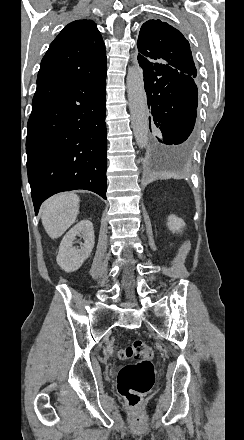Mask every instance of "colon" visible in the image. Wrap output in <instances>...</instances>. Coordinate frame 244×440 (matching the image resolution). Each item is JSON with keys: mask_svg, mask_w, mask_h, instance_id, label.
I'll list each match as a JSON object with an SVG mask.
<instances>
[{"mask_svg": "<svg viewBox=\"0 0 244 440\" xmlns=\"http://www.w3.org/2000/svg\"><path fill=\"white\" fill-rule=\"evenodd\" d=\"M115 353L121 360L135 358L138 361L125 365L118 376L120 395L125 398L130 410H137L142 396L147 394L154 385V353L141 340L133 341L124 349L115 350Z\"/></svg>", "mask_w": 244, "mask_h": 440, "instance_id": "5ec220e1", "label": "colon"}]
</instances>
